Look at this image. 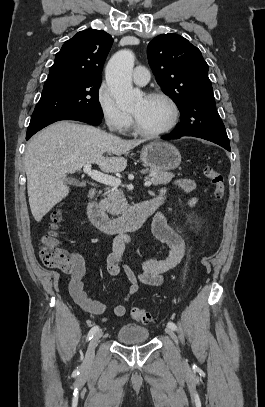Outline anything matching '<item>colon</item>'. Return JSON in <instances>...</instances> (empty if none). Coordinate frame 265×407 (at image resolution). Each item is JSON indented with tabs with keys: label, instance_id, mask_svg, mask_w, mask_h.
<instances>
[{
	"label": "colon",
	"instance_id": "colon-1",
	"mask_svg": "<svg viewBox=\"0 0 265 407\" xmlns=\"http://www.w3.org/2000/svg\"><path fill=\"white\" fill-rule=\"evenodd\" d=\"M203 173L213 187L214 199L222 200L226 193L224 176L215 166L209 164L204 166ZM61 222L62 212L60 210L54 211L51 215L49 231L42 237L39 256L43 264L49 268L71 271L74 267V256L60 245L56 232ZM131 316L134 320L143 323L155 321V316L144 309L133 308Z\"/></svg>",
	"mask_w": 265,
	"mask_h": 407
}]
</instances>
